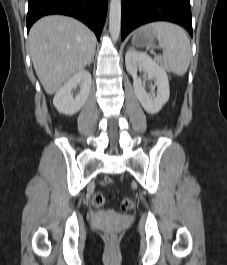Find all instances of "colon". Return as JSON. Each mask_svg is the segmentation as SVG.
Here are the masks:
<instances>
[{"label":"colon","mask_w":227,"mask_h":265,"mask_svg":"<svg viewBox=\"0 0 227 265\" xmlns=\"http://www.w3.org/2000/svg\"><path fill=\"white\" fill-rule=\"evenodd\" d=\"M102 184L104 186H110L112 185V179L110 177H104L102 179ZM91 201H92V204L95 206V207H102L104 206L105 204V198L104 196L99 193V192H95L93 195H92V198H91ZM135 208V201L133 198L131 197H126L122 200L121 202V210L123 212H130L132 211L133 209ZM105 239L107 242L109 243H114L115 240H116V236L115 234L113 233H107L105 235Z\"/></svg>","instance_id":"1"}]
</instances>
